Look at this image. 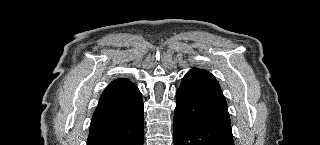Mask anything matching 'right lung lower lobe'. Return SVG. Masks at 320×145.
<instances>
[{
  "label": "right lung lower lobe",
  "mask_w": 320,
  "mask_h": 145,
  "mask_svg": "<svg viewBox=\"0 0 320 145\" xmlns=\"http://www.w3.org/2000/svg\"><path fill=\"white\" fill-rule=\"evenodd\" d=\"M143 101L128 79L112 81L93 114L87 145H143Z\"/></svg>",
  "instance_id": "1"
}]
</instances>
